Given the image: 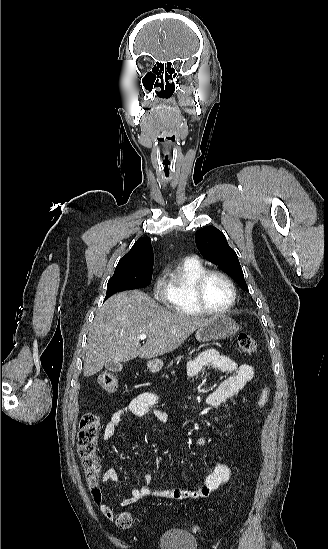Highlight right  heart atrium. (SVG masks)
Returning <instances> with one entry per match:
<instances>
[{
    "mask_svg": "<svg viewBox=\"0 0 328 549\" xmlns=\"http://www.w3.org/2000/svg\"><path fill=\"white\" fill-rule=\"evenodd\" d=\"M164 286V271L160 270L156 272L152 281V295L155 299H158Z\"/></svg>",
    "mask_w": 328,
    "mask_h": 549,
    "instance_id": "1",
    "label": "right heart atrium"
}]
</instances>
